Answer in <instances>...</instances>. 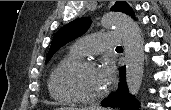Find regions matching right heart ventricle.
Listing matches in <instances>:
<instances>
[{"label":"right heart ventricle","instance_id":"1","mask_svg":"<svg viewBox=\"0 0 171 110\" xmlns=\"http://www.w3.org/2000/svg\"><path fill=\"white\" fill-rule=\"evenodd\" d=\"M79 57V54H77L75 51H73L72 49L57 63V65L54 67V69L52 70V72L50 73V76L48 78V83H47V87H48V91L50 96L61 103H68L70 102V99H68L67 97H65L64 95H62L57 86H56V75L59 71V69L66 64L69 61L75 60Z\"/></svg>","mask_w":171,"mask_h":110}]
</instances>
